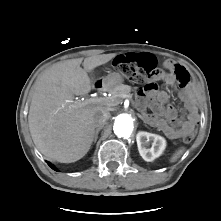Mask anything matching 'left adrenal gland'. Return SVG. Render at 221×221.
Listing matches in <instances>:
<instances>
[{
    "label": "left adrenal gland",
    "mask_w": 221,
    "mask_h": 221,
    "mask_svg": "<svg viewBox=\"0 0 221 221\" xmlns=\"http://www.w3.org/2000/svg\"><path fill=\"white\" fill-rule=\"evenodd\" d=\"M138 117L141 118V119L144 121V123H147V122L145 121V119H144L143 116H141V115L138 114Z\"/></svg>",
    "instance_id": "left-adrenal-gland-1"
}]
</instances>
